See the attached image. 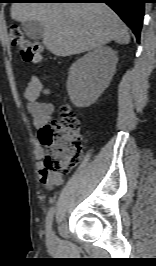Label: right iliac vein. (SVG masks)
<instances>
[{"instance_id": "1", "label": "right iliac vein", "mask_w": 156, "mask_h": 266, "mask_svg": "<svg viewBox=\"0 0 156 266\" xmlns=\"http://www.w3.org/2000/svg\"><path fill=\"white\" fill-rule=\"evenodd\" d=\"M55 240H56L55 233H54L52 230H50V232H49V234H48V241H49L50 243H54Z\"/></svg>"}]
</instances>
